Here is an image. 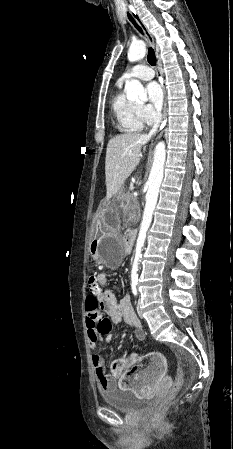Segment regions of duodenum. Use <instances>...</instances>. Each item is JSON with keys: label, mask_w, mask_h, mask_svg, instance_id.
Instances as JSON below:
<instances>
[{"label": "duodenum", "mask_w": 233, "mask_h": 449, "mask_svg": "<svg viewBox=\"0 0 233 449\" xmlns=\"http://www.w3.org/2000/svg\"><path fill=\"white\" fill-rule=\"evenodd\" d=\"M135 238H136V232L131 231V233L125 239V248L128 253L131 252L134 247Z\"/></svg>", "instance_id": "1"}]
</instances>
